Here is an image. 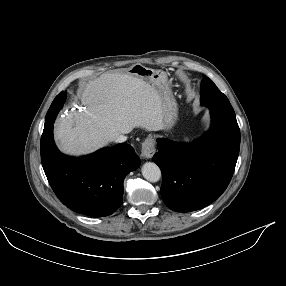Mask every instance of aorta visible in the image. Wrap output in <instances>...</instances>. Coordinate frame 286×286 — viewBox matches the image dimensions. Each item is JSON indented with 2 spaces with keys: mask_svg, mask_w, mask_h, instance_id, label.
Returning <instances> with one entry per match:
<instances>
[{
  "mask_svg": "<svg viewBox=\"0 0 286 286\" xmlns=\"http://www.w3.org/2000/svg\"><path fill=\"white\" fill-rule=\"evenodd\" d=\"M142 175L150 182H157L161 178V170L155 163L146 162L142 166Z\"/></svg>",
  "mask_w": 286,
  "mask_h": 286,
  "instance_id": "aorta-1",
  "label": "aorta"
}]
</instances>
